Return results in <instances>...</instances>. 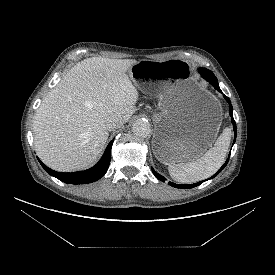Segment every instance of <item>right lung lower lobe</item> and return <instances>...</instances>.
Segmentation results:
<instances>
[{
  "label": "right lung lower lobe",
  "mask_w": 275,
  "mask_h": 275,
  "mask_svg": "<svg viewBox=\"0 0 275 275\" xmlns=\"http://www.w3.org/2000/svg\"><path fill=\"white\" fill-rule=\"evenodd\" d=\"M112 143H113V140L106 147L101 160L92 168L84 171L72 172V173L56 172L48 168L46 165H44L39 159L38 161L50 175L56 177L62 182H65L67 184H76V185L88 184L99 180L107 172L110 164V159H111Z\"/></svg>",
  "instance_id": "obj_1"
}]
</instances>
